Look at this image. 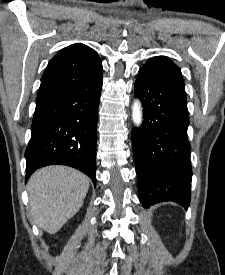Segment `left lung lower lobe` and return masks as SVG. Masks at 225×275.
<instances>
[{"label": "left lung lower lobe", "mask_w": 225, "mask_h": 275, "mask_svg": "<svg viewBox=\"0 0 225 275\" xmlns=\"http://www.w3.org/2000/svg\"><path fill=\"white\" fill-rule=\"evenodd\" d=\"M134 91L144 117L131 133L140 202L174 201L187 209L192 168L186 93L141 69Z\"/></svg>", "instance_id": "1"}]
</instances>
